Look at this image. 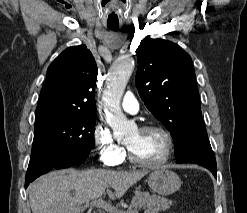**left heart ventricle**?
Instances as JSON below:
<instances>
[{
	"instance_id": "obj_1",
	"label": "left heart ventricle",
	"mask_w": 247,
	"mask_h": 213,
	"mask_svg": "<svg viewBox=\"0 0 247 213\" xmlns=\"http://www.w3.org/2000/svg\"><path fill=\"white\" fill-rule=\"evenodd\" d=\"M133 154L144 162H156L165 152L163 136L156 131L141 132L136 130L125 143Z\"/></svg>"
}]
</instances>
